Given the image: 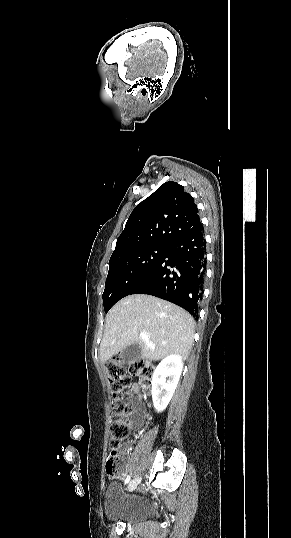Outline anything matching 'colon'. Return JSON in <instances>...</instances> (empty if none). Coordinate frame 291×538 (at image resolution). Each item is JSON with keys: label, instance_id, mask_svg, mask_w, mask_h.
I'll return each instance as SVG.
<instances>
[{"label": "colon", "instance_id": "5ec220e1", "mask_svg": "<svg viewBox=\"0 0 291 538\" xmlns=\"http://www.w3.org/2000/svg\"><path fill=\"white\" fill-rule=\"evenodd\" d=\"M105 369L113 397V417L109 423L111 453L107 458L106 472L109 476L119 477L123 474V465L118 456V449L129 435L131 426L128 415L132 413V408L126 402V398L132 385V376L138 377L145 384H148L153 378L154 366L149 360L140 358L133 360L129 369L126 370L121 360L116 358L107 362Z\"/></svg>", "mask_w": 291, "mask_h": 538}]
</instances>
